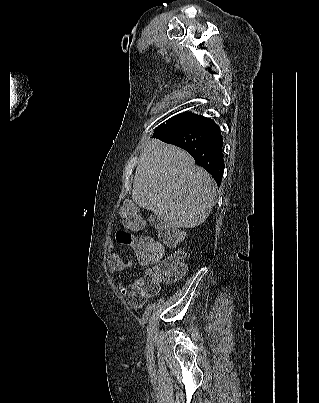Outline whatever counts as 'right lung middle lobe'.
Here are the masks:
<instances>
[{"instance_id":"dd1d6c3e","label":"right lung middle lobe","mask_w":319,"mask_h":403,"mask_svg":"<svg viewBox=\"0 0 319 403\" xmlns=\"http://www.w3.org/2000/svg\"><path fill=\"white\" fill-rule=\"evenodd\" d=\"M205 117L201 116V115H195L192 113H181L178 114L172 118H170L169 120L166 121V123L161 124L156 130L155 133L166 129V128H170V127H174V128H179L182 126H187L197 120L203 119Z\"/></svg>"}]
</instances>
